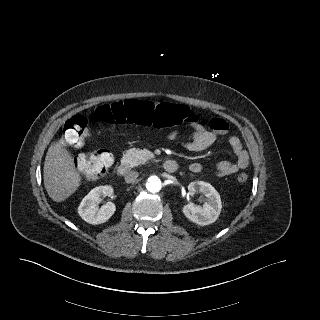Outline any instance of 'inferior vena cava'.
Wrapping results in <instances>:
<instances>
[{"label":"inferior vena cava","mask_w":320,"mask_h":320,"mask_svg":"<svg viewBox=\"0 0 320 320\" xmlns=\"http://www.w3.org/2000/svg\"><path fill=\"white\" fill-rule=\"evenodd\" d=\"M138 172L136 171H130L125 176L126 183L134 182L138 178Z\"/></svg>","instance_id":"602c4592"}]
</instances>
